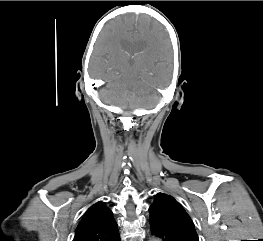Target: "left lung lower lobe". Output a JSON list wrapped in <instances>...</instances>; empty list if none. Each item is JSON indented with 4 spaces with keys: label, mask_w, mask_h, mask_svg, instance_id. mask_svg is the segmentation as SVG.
Listing matches in <instances>:
<instances>
[{
    "label": "left lung lower lobe",
    "mask_w": 263,
    "mask_h": 241,
    "mask_svg": "<svg viewBox=\"0 0 263 241\" xmlns=\"http://www.w3.org/2000/svg\"><path fill=\"white\" fill-rule=\"evenodd\" d=\"M150 223V228L153 235L161 238L162 241H185L182 237L175 235L174 233L168 231L167 229L155 224Z\"/></svg>",
    "instance_id": "1"
}]
</instances>
